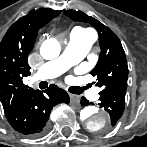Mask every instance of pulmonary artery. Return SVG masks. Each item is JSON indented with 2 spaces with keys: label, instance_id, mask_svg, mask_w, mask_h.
<instances>
[{
  "label": "pulmonary artery",
  "instance_id": "1",
  "mask_svg": "<svg viewBox=\"0 0 147 147\" xmlns=\"http://www.w3.org/2000/svg\"><path fill=\"white\" fill-rule=\"evenodd\" d=\"M95 39L93 33H85L74 29L71 32L69 43L60 57L45 63L34 76L33 80L49 79L60 76L73 65L81 61L89 52ZM91 99L98 98L96 93L90 95Z\"/></svg>",
  "mask_w": 147,
  "mask_h": 147
}]
</instances>
